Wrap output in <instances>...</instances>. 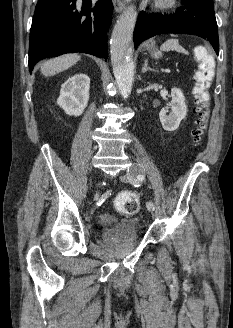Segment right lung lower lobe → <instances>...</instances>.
Wrapping results in <instances>:
<instances>
[{
  "label": "right lung lower lobe",
  "mask_w": 233,
  "mask_h": 328,
  "mask_svg": "<svg viewBox=\"0 0 233 328\" xmlns=\"http://www.w3.org/2000/svg\"><path fill=\"white\" fill-rule=\"evenodd\" d=\"M111 0H39L30 32L29 70L48 57L82 52L107 59Z\"/></svg>",
  "instance_id": "obj_1"
}]
</instances>
